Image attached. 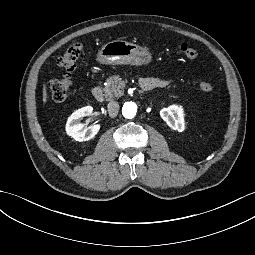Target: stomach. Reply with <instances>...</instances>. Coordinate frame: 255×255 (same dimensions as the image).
Returning <instances> with one entry per match:
<instances>
[{"instance_id": "stomach-1", "label": "stomach", "mask_w": 255, "mask_h": 255, "mask_svg": "<svg viewBox=\"0 0 255 255\" xmlns=\"http://www.w3.org/2000/svg\"><path fill=\"white\" fill-rule=\"evenodd\" d=\"M97 61L107 65H143L151 61V54L146 48L137 44L114 40L98 51Z\"/></svg>"}]
</instances>
